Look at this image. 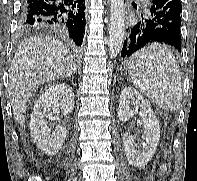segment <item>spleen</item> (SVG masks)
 <instances>
[{"label":"spleen","instance_id":"obj_1","mask_svg":"<svg viewBox=\"0 0 197 181\" xmlns=\"http://www.w3.org/2000/svg\"><path fill=\"white\" fill-rule=\"evenodd\" d=\"M129 65L131 80L141 93L163 109L180 108V69L166 45L152 43L144 47L131 57Z\"/></svg>","mask_w":197,"mask_h":181}]
</instances>
